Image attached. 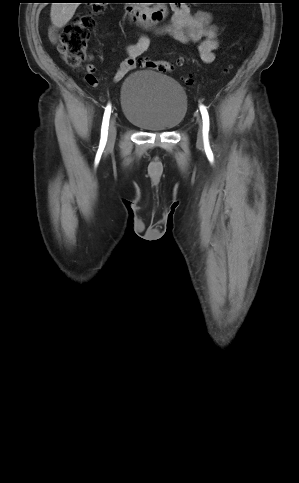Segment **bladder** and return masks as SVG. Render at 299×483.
Segmentation results:
<instances>
[{"instance_id": "1", "label": "bladder", "mask_w": 299, "mask_h": 483, "mask_svg": "<svg viewBox=\"0 0 299 483\" xmlns=\"http://www.w3.org/2000/svg\"><path fill=\"white\" fill-rule=\"evenodd\" d=\"M120 103L126 121L152 132L175 129L184 120L188 108L183 87L151 69L134 70L125 78Z\"/></svg>"}]
</instances>
